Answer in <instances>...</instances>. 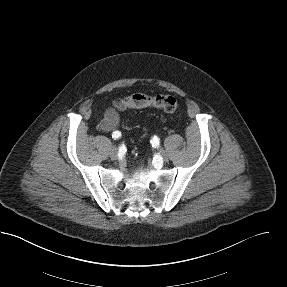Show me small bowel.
Segmentation results:
<instances>
[{
  "instance_id": "c3829d8e",
  "label": "small bowel",
  "mask_w": 287,
  "mask_h": 287,
  "mask_svg": "<svg viewBox=\"0 0 287 287\" xmlns=\"http://www.w3.org/2000/svg\"><path fill=\"white\" fill-rule=\"evenodd\" d=\"M120 123L119 114L114 108H108L99 123V129L104 132H116L118 131Z\"/></svg>"
}]
</instances>
